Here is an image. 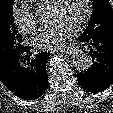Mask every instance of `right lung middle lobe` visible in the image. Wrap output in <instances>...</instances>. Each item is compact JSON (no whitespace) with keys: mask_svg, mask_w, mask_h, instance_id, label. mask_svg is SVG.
<instances>
[{"mask_svg":"<svg viewBox=\"0 0 113 113\" xmlns=\"http://www.w3.org/2000/svg\"><path fill=\"white\" fill-rule=\"evenodd\" d=\"M13 1L0 0V69L25 47L14 24Z\"/></svg>","mask_w":113,"mask_h":113,"instance_id":"1","label":"right lung middle lobe"}]
</instances>
